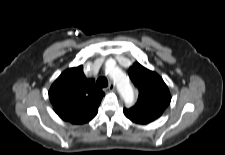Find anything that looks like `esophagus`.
Masks as SVG:
<instances>
[{
  "instance_id": "obj_1",
  "label": "esophagus",
  "mask_w": 225,
  "mask_h": 155,
  "mask_svg": "<svg viewBox=\"0 0 225 155\" xmlns=\"http://www.w3.org/2000/svg\"><path fill=\"white\" fill-rule=\"evenodd\" d=\"M105 90L106 91H114L115 90V85L113 83H110Z\"/></svg>"
}]
</instances>
